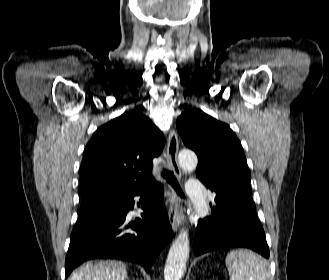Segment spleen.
<instances>
[{
	"instance_id": "3e777b00",
	"label": "spleen",
	"mask_w": 329,
	"mask_h": 280,
	"mask_svg": "<svg viewBox=\"0 0 329 280\" xmlns=\"http://www.w3.org/2000/svg\"><path fill=\"white\" fill-rule=\"evenodd\" d=\"M226 266L230 280H268L266 263L255 253L239 249L226 256Z\"/></svg>"
}]
</instances>
